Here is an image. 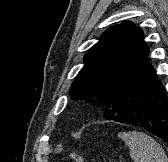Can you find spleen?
Segmentation results:
<instances>
[{"instance_id":"1","label":"spleen","mask_w":168,"mask_h":162,"mask_svg":"<svg viewBox=\"0 0 168 162\" xmlns=\"http://www.w3.org/2000/svg\"><path fill=\"white\" fill-rule=\"evenodd\" d=\"M118 136L128 145L134 162H168L163 148L149 135L139 132H120Z\"/></svg>"}]
</instances>
